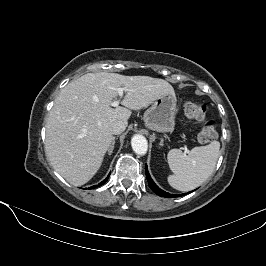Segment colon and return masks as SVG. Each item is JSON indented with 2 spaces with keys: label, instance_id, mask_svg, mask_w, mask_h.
Listing matches in <instances>:
<instances>
[{
  "label": "colon",
  "instance_id": "colon-1",
  "mask_svg": "<svg viewBox=\"0 0 266 266\" xmlns=\"http://www.w3.org/2000/svg\"><path fill=\"white\" fill-rule=\"evenodd\" d=\"M184 113L187 118L196 121H203L204 124L200 128L197 138L200 143H210L217 137L214 125L207 121V107L203 103L186 102L184 105Z\"/></svg>",
  "mask_w": 266,
  "mask_h": 266
}]
</instances>
